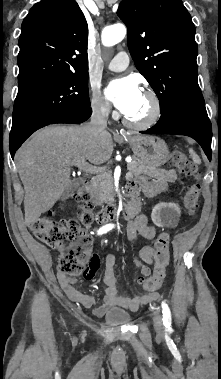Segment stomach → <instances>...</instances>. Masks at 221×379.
Instances as JSON below:
<instances>
[{"label":"stomach","mask_w":221,"mask_h":379,"mask_svg":"<svg viewBox=\"0 0 221 379\" xmlns=\"http://www.w3.org/2000/svg\"><path fill=\"white\" fill-rule=\"evenodd\" d=\"M126 140L135 157L147 165L160 167L169 160V149L165 141L159 137L129 134Z\"/></svg>","instance_id":"1"}]
</instances>
